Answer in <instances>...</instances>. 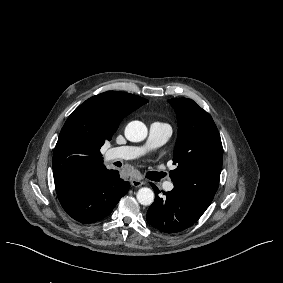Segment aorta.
Wrapping results in <instances>:
<instances>
[{"label":"aorta","mask_w":283,"mask_h":283,"mask_svg":"<svg viewBox=\"0 0 283 283\" xmlns=\"http://www.w3.org/2000/svg\"><path fill=\"white\" fill-rule=\"evenodd\" d=\"M148 134L147 127L141 121H132L125 128V137L131 142H141ZM141 205L148 206L154 202V192L147 187L140 188L136 194Z\"/></svg>","instance_id":"1"}]
</instances>
